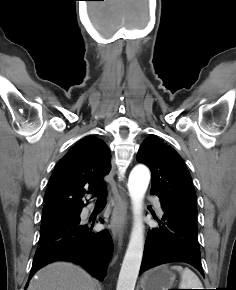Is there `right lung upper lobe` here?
Listing matches in <instances>:
<instances>
[{"instance_id":"1","label":"right lung upper lobe","mask_w":236,"mask_h":290,"mask_svg":"<svg viewBox=\"0 0 236 290\" xmlns=\"http://www.w3.org/2000/svg\"><path fill=\"white\" fill-rule=\"evenodd\" d=\"M110 151L95 136L78 141L57 163L45 193L43 216L81 212L86 189L103 192L102 177L111 170ZM89 192V191H87Z\"/></svg>"}]
</instances>
